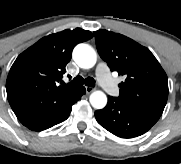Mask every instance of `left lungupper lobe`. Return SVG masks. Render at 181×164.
<instances>
[{
	"label": "left lung upper lobe",
	"mask_w": 181,
	"mask_h": 164,
	"mask_svg": "<svg viewBox=\"0 0 181 164\" xmlns=\"http://www.w3.org/2000/svg\"><path fill=\"white\" fill-rule=\"evenodd\" d=\"M94 35L97 50L110 70L125 77L119 84L117 98L161 116L168 98V79L150 50L104 29L95 31Z\"/></svg>",
	"instance_id": "obj_1"
}]
</instances>
